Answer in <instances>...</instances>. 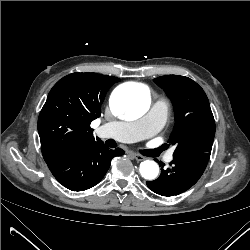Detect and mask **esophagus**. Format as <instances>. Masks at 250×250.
<instances>
[{
  "instance_id": "obj_1",
  "label": "esophagus",
  "mask_w": 250,
  "mask_h": 250,
  "mask_svg": "<svg viewBox=\"0 0 250 250\" xmlns=\"http://www.w3.org/2000/svg\"><path fill=\"white\" fill-rule=\"evenodd\" d=\"M131 155H132V157H133L135 160H137V161H142V160L145 159L142 155L137 154V153H131Z\"/></svg>"
}]
</instances>
